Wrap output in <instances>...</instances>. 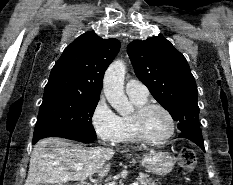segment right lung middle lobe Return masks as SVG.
<instances>
[{"instance_id":"1","label":"right lung middle lobe","mask_w":233,"mask_h":185,"mask_svg":"<svg viewBox=\"0 0 233 185\" xmlns=\"http://www.w3.org/2000/svg\"><path fill=\"white\" fill-rule=\"evenodd\" d=\"M99 97L66 92H44L33 144L48 136L96 139L91 120Z\"/></svg>"}]
</instances>
